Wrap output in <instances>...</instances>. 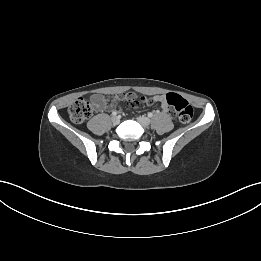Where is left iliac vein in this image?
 Segmentation results:
<instances>
[{
    "instance_id": "left-iliac-vein-1",
    "label": "left iliac vein",
    "mask_w": 261,
    "mask_h": 261,
    "mask_svg": "<svg viewBox=\"0 0 261 261\" xmlns=\"http://www.w3.org/2000/svg\"><path fill=\"white\" fill-rule=\"evenodd\" d=\"M137 120L143 127H148L150 125V119L145 116H140Z\"/></svg>"
}]
</instances>
